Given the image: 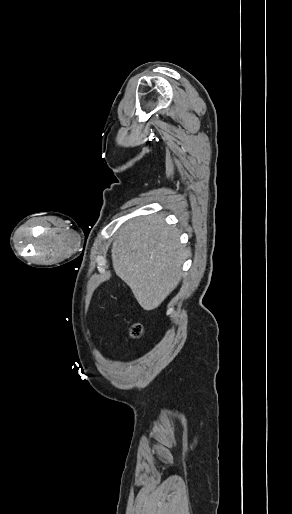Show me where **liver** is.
Segmentation results:
<instances>
[{"mask_svg":"<svg viewBox=\"0 0 292 514\" xmlns=\"http://www.w3.org/2000/svg\"><path fill=\"white\" fill-rule=\"evenodd\" d=\"M179 236L177 228L153 214L125 224L113 242V268L143 310L158 308L181 280L188 252Z\"/></svg>","mask_w":292,"mask_h":514,"instance_id":"liver-1","label":"liver"}]
</instances>
